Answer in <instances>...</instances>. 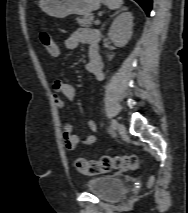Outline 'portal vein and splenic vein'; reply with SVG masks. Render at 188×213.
<instances>
[{"instance_id":"1","label":"portal vein and splenic vein","mask_w":188,"mask_h":213,"mask_svg":"<svg viewBox=\"0 0 188 213\" xmlns=\"http://www.w3.org/2000/svg\"><path fill=\"white\" fill-rule=\"evenodd\" d=\"M95 24H96V25H99V24H100V20L97 19V20L95 21Z\"/></svg>"}]
</instances>
